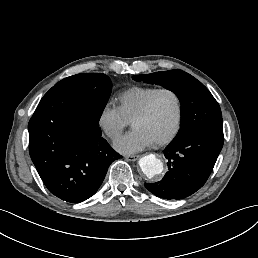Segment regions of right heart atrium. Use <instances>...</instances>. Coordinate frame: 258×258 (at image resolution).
Wrapping results in <instances>:
<instances>
[{
  "instance_id": "1",
  "label": "right heart atrium",
  "mask_w": 258,
  "mask_h": 258,
  "mask_svg": "<svg viewBox=\"0 0 258 258\" xmlns=\"http://www.w3.org/2000/svg\"><path fill=\"white\" fill-rule=\"evenodd\" d=\"M99 123L105 133L111 137L118 135L128 125L117 107L105 108L100 115Z\"/></svg>"
}]
</instances>
